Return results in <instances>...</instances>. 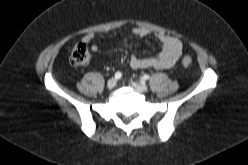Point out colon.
<instances>
[{
	"instance_id": "colon-1",
	"label": "colon",
	"mask_w": 248,
	"mask_h": 165,
	"mask_svg": "<svg viewBox=\"0 0 248 165\" xmlns=\"http://www.w3.org/2000/svg\"><path fill=\"white\" fill-rule=\"evenodd\" d=\"M70 63L74 66H85L90 61V52L86 44L78 43L75 45L70 54ZM192 63V59L189 56H185L182 59V65L187 67Z\"/></svg>"
}]
</instances>
